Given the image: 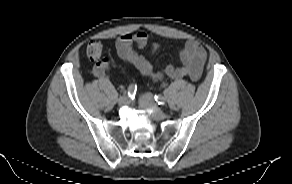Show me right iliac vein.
I'll return each instance as SVG.
<instances>
[{"label":"right iliac vein","mask_w":292,"mask_h":184,"mask_svg":"<svg viewBox=\"0 0 292 184\" xmlns=\"http://www.w3.org/2000/svg\"><path fill=\"white\" fill-rule=\"evenodd\" d=\"M129 103V98L127 96H121L119 99H118V105L119 106H123V105H126Z\"/></svg>","instance_id":"obj_1"}]
</instances>
